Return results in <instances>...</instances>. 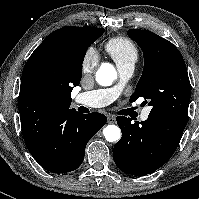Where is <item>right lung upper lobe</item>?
Returning a JSON list of instances; mask_svg holds the SVG:
<instances>
[{
    "instance_id": "1",
    "label": "right lung upper lobe",
    "mask_w": 199,
    "mask_h": 199,
    "mask_svg": "<svg viewBox=\"0 0 199 199\" xmlns=\"http://www.w3.org/2000/svg\"><path fill=\"white\" fill-rule=\"evenodd\" d=\"M94 27H63L48 35L29 57L18 98L22 133L26 144H33L53 133L70 109L71 91L79 85L82 68L76 62L64 67L63 61L79 30Z\"/></svg>"
}]
</instances>
